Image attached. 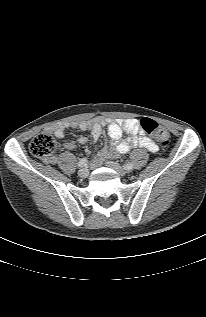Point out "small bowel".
<instances>
[{
  "mask_svg": "<svg viewBox=\"0 0 206 317\" xmlns=\"http://www.w3.org/2000/svg\"><path fill=\"white\" fill-rule=\"evenodd\" d=\"M104 126H107L108 128L111 148L101 150L93 158L92 164L94 166L100 165L107 158L117 157L135 147L145 148L152 153H155L158 150V146L145 135L139 121L136 119L108 120L97 117L89 121H81L72 124V127L74 128H79L82 131H89L91 133V139L84 136L78 139V142L81 144L95 143L102 136ZM52 130L57 138H63L64 131L62 127H54ZM123 133H126L129 136L123 139ZM64 147L73 149L75 144L72 141H66ZM51 162L56 163V159H52Z\"/></svg>",
  "mask_w": 206,
  "mask_h": 317,
  "instance_id": "small-bowel-1",
  "label": "small bowel"
}]
</instances>
